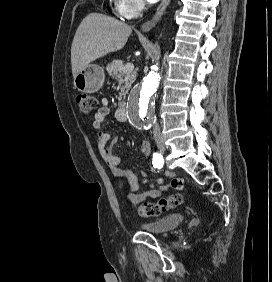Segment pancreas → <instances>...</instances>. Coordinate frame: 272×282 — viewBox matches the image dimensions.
<instances>
[{
    "instance_id": "1",
    "label": "pancreas",
    "mask_w": 272,
    "mask_h": 282,
    "mask_svg": "<svg viewBox=\"0 0 272 282\" xmlns=\"http://www.w3.org/2000/svg\"><path fill=\"white\" fill-rule=\"evenodd\" d=\"M124 67L125 65L121 60H114L106 67V71L114 80L119 81L120 79H123L124 85L121 88V91L118 96L119 105L124 104V99L126 97V94L130 90L136 78V71L133 70L128 72H123Z\"/></svg>"
}]
</instances>
